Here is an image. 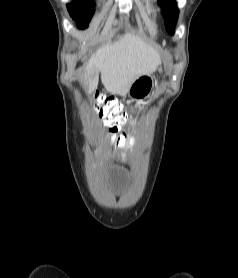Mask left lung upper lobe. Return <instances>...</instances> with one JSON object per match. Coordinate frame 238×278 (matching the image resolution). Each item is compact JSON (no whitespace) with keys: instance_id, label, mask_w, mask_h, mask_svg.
Masks as SVG:
<instances>
[{"instance_id":"5c2ea615","label":"left lung upper lobe","mask_w":238,"mask_h":278,"mask_svg":"<svg viewBox=\"0 0 238 278\" xmlns=\"http://www.w3.org/2000/svg\"><path fill=\"white\" fill-rule=\"evenodd\" d=\"M158 2L164 14L166 30L173 35L179 14L176 2L174 0H158Z\"/></svg>"}]
</instances>
